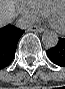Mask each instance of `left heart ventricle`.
<instances>
[{
    "mask_svg": "<svg viewBox=\"0 0 65 89\" xmlns=\"http://www.w3.org/2000/svg\"><path fill=\"white\" fill-rule=\"evenodd\" d=\"M51 20L54 25L65 27V7L63 5H59L53 10Z\"/></svg>",
    "mask_w": 65,
    "mask_h": 89,
    "instance_id": "obj_1",
    "label": "left heart ventricle"
}]
</instances>
